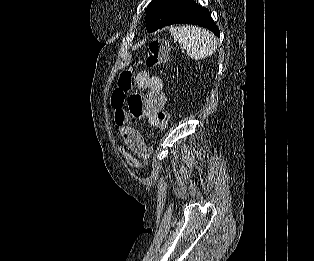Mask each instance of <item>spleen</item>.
<instances>
[{
  "label": "spleen",
  "mask_w": 314,
  "mask_h": 261,
  "mask_svg": "<svg viewBox=\"0 0 314 261\" xmlns=\"http://www.w3.org/2000/svg\"><path fill=\"white\" fill-rule=\"evenodd\" d=\"M170 32L175 41L181 44L187 54L200 60L211 56L217 49L214 35L202 28L195 26L171 27Z\"/></svg>",
  "instance_id": "obj_1"
}]
</instances>
